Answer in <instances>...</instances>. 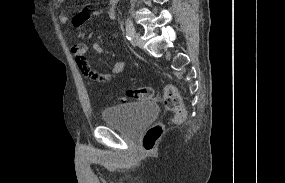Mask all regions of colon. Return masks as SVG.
Here are the masks:
<instances>
[{
  "instance_id": "1",
  "label": "colon",
  "mask_w": 285,
  "mask_h": 183,
  "mask_svg": "<svg viewBox=\"0 0 285 183\" xmlns=\"http://www.w3.org/2000/svg\"><path fill=\"white\" fill-rule=\"evenodd\" d=\"M78 65L82 72L87 75V68L82 64ZM128 97L133 100H151L154 98V91L150 87H139L129 90ZM163 103L165 108L173 113L172 120L174 123L181 124L186 120L187 112L183 107L181 96L175 86L167 85L165 87ZM163 130L164 128L161 124H155L146 131L142 139V145L146 151L154 150Z\"/></svg>"
}]
</instances>
